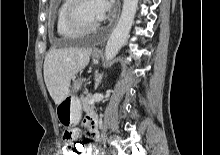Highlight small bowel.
Wrapping results in <instances>:
<instances>
[{
  "mask_svg": "<svg viewBox=\"0 0 220 155\" xmlns=\"http://www.w3.org/2000/svg\"><path fill=\"white\" fill-rule=\"evenodd\" d=\"M83 123L89 129H91V127L93 125H96L97 128H98L97 116L94 113L87 114V116L85 117ZM73 131H75V133ZM78 136H79V132H78V130L75 129V126H64V130H62L61 140L62 141H77ZM93 137L98 138L99 137V131L97 132V135L93 136ZM82 147H84V146H82ZM91 153H92L91 148L84 147L83 155H92Z\"/></svg>",
  "mask_w": 220,
  "mask_h": 155,
  "instance_id": "1",
  "label": "small bowel"
}]
</instances>
